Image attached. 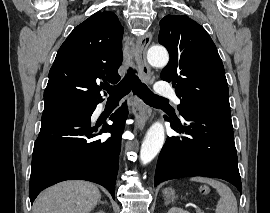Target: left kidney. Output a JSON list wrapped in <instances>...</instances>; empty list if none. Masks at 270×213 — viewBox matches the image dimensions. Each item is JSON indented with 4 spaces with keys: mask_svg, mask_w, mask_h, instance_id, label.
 Returning <instances> with one entry per match:
<instances>
[{
    "mask_svg": "<svg viewBox=\"0 0 270 213\" xmlns=\"http://www.w3.org/2000/svg\"><path fill=\"white\" fill-rule=\"evenodd\" d=\"M168 213H189V212L181 208L173 207L169 209Z\"/></svg>",
    "mask_w": 270,
    "mask_h": 213,
    "instance_id": "1",
    "label": "left kidney"
}]
</instances>
